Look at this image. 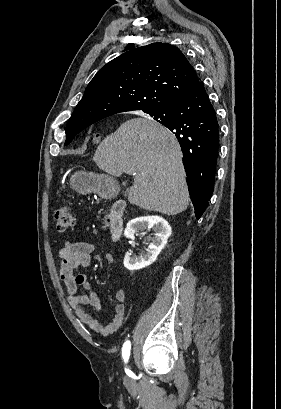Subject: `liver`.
Masks as SVG:
<instances>
[{"label":"liver","mask_w":281,"mask_h":409,"mask_svg":"<svg viewBox=\"0 0 281 409\" xmlns=\"http://www.w3.org/2000/svg\"><path fill=\"white\" fill-rule=\"evenodd\" d=\"M110 176L134 174L128 200L146 211L178 215L189 205L186 172L175 134L150 118H130L108 134L93 156Z\"/></svg>","instance_id":"6515ba94"}]
</instances>
